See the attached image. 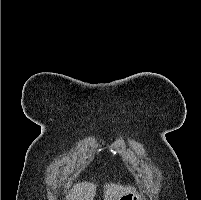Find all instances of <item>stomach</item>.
I'll list each match as a JSON object with an SVG mask.
<instances>
[{"label":"stomach","instance_id":"1","mask_svg":"<svg viewBox=\"0 0 201 200\" xmlns=\"http://www.w3.org/2000/svg\"><path fill=\"white\" fill-rule=\"evenodd\" d=\"M118 200H142V197L138 193L132 192L119 197Z\"/></svg>","mask_w":201,"mask_h":200}]
</instances>
